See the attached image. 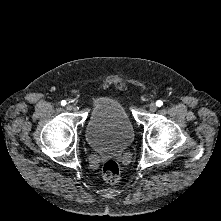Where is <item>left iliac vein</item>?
Wrapping results in <instances>:
<instances>
[{"instance_id": "1", "label": "left iliac vein", "mask_w": 221, "mask_h": 221, "mask_svg": "<svg viewBox=\"0 0 221 221\" xmlns=\"http://www.w3.org/2000/svg\"><path fill=\"white\" fill-rule=\"evenodd\" d=\"M149 109L151 112H155L157 110V105L155 103H151Z\"/></svg>"}]
</instances>
